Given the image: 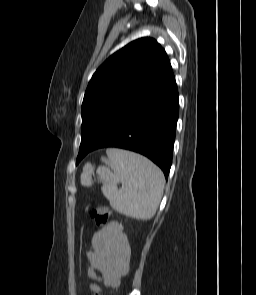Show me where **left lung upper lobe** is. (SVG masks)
<instances>
[{
    "instance_id": "1",
    "label": "left lung upper lobe",
    "mask_w": 256,
    "mask_h": 295,
    "mask_svg": "<svg viewBox=\"0 0 256 295\" xmlns=\"http://www.w3.org/2000/svg\"><path fill=\"white\" fill-rule=\"evenodd\" d=\"M173 77L165 50L152 38L137 39L110 56L94 73L85 92L79 153L99 142Z\"/></svg>"
}]
</instances>
